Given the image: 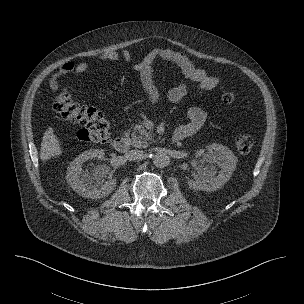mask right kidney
<instances>
[{
    "instance_id": "right-kidney-1",
    "label": "right kidney",
    "mask_w": 304,
    "mask_h": 304,
    "mask_svg": "<svg viewBox=\"0 0 304 304\" xmlns=\"http://www.w3.org/2000/svg\"><path fill=\"white\" fill-rule=\"evenodd\" d=\"M103 155V150L85 151L75 158L67 168V182L75 192L84 198L97 199L105 197L116 187V179L105 180L107 171L102 165L94 167L90 173L82 170L84 162L96 157L101 158Z\"/></svg>"
}]
</instances>
